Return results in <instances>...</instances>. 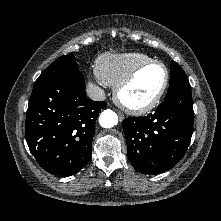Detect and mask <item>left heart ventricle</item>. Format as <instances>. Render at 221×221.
I'll return each mask as SVG.
<instances>
[{
	"label": "left heart ventricle",
	"mask_w": 221,
	"mask_h": 221,
	"mask_svg": "<svg viewBox=\"0 0 221 221\" xmlns=\"http://www.w3.org/2000/svg\"><path fill=\"white\" fill-rule=\"evenodd\" d=\"M165 73L158 65L151 66L142 71L136 80L126 88L122 96L131 104L141 105L152 99L161 88Z\"/></svg>",
	"instance_id": "obj_1"
}]
</instances>
